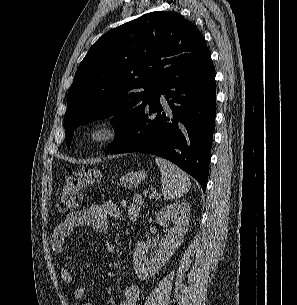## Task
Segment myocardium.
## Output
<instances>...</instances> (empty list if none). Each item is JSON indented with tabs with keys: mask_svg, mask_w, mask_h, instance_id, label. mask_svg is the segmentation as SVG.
I'll use <instances>...</instances> for the list:
<instances>
[{
	"mask_svg": "<svg viewBox=\"0 0 297 305\" xmlns=\"http://www.w3.org/2000/svg\"><path fill=\"white\" fill-rule=\"evenodd\" d=\"M120 128L112 118H100L89 123L85 129V137L92 143L102 144L118 137Z\"/></svg>",
	"mask_w": 297,
	"mask_h": 305,
	"instance_id": "1",
	"label": "myocardium"
}]
</instances>
